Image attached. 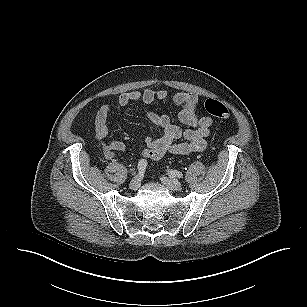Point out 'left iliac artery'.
Instances as JSON below:
<instances>
[{
    "mask_svg": "<svg viewBox=\"0 0 307 307\" xmlns=\"http://www.w3.org/2000/svg\"><path fill=\"white\" fill-rule=\"evenodd\" d=\"M168 174L170 177L174 178H183V174L177 170H170L168 171Z\"/></svg>",
    "mask_w": 307,
    "mask_h": 307,
    "instance_id": "1",
    "label": "left iliac artery"
}]
</instances>
